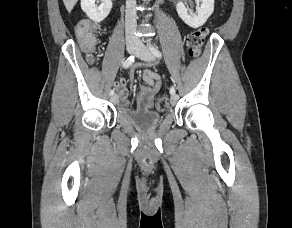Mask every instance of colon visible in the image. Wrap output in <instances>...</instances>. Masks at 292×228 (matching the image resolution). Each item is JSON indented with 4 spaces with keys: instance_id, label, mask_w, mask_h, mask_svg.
I'll return each instance as SVG.
<instances>
[{
    "instance_id": "1",
    "label": "colon",
    "mask_w": 292,
    "mask_h": 228,
    "mask_svg": "<svg viewBox=\"0 0 292 228\" xmlns=\"http://www.w3.org/2000/svg\"><path fill=\"white\" fill-rule=\"evenodd\" d=\"M76 34L82 48L92 54L96 46L94 26L89 23H82L77 26ZM208 35L207 28H201L191 32L187 38L189 54L197 57L202 51V46ZM155 107L158 111H165L169 107V98L167 95L159 96L155 101Z\"/></svg>"
}]
</instances>
